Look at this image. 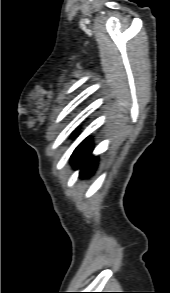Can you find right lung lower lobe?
Instances as JSON below:
<instances>
[{"instance_id":"98d812e1","label":"right lung lower lobe","mask_w":170,"mask_h":293,"mask_svg":"<svg viewBox=\"0 0 170 293\" xmlns=\"http://www.w3.org/2000/svg\"><path fill=\"white\" fill-rule=\"evenodd\" d=\"M90 141L84 147L80 155L74 160L75 167H81L80 176L90 175L96 166V157L91 156L92 148Z\"/></svg>"}]
</instances>
